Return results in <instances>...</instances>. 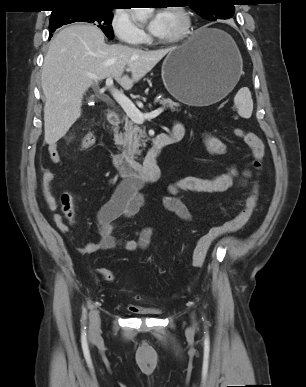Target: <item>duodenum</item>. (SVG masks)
Here are the masks:
<instances>
[{
  "mask_svg": "<svg viewBox=\"0 0 306 387\" xmlns=\"http://www.w3.org/2000/svg\"><path fill=\"white\" fill-rule=\"evenodd\" d=\"M107 118L110 126L116 131L121 123L120 115L116 111H110ZM180 139V134L160 133L153 139L152 146L143 161L116 153L112 156V165L117 173L128 181L155 182L161 176V169L157 161L159 154L164 147Z\"/></svg>",
  "mask_w": 306,
  "mask_h": 387,
  "instance_id": "obj_1",
  "label": "duodenum"
}]
</instances>
